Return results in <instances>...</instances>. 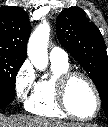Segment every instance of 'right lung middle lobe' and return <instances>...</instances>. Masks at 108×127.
Segmentation results:
<instances>
[{
  "instance_id": "obj_1",
  "label": "right lung middle lobe",
  "mask_w": 108,
  "mask_h": 127,
  "mask_svg": "<svg viewBox=\"0 0 108 127\" xmlns=\"http://www.w3.org/2000/svg\"><path fill=\"white\" fill-rule=\"evenodd\" d=\"M25 59L0 53V94L15 96L17 72Z\"/></svg>"
}]
</instances>
